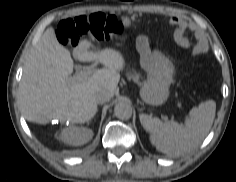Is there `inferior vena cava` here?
<instances>
[{
    "mask_svg": "<svg viewBox=\"0 0 236 182\" xmlns=\"http://www.w3.org/2000/svg\"><path fill=\"white\" fill-rule=\"evenodd\" d=\"M112 96H113V94L111 91H109L107 89H101L96 93L95 99H96L97 103L103 104V103L109 101L112 98Z\"/></svg>",
    "mask_w": 236,
    "mask_h": 182,
    "instance_id": "obj_1",
    "label": "inferior vena cava"
}]
</instances>
